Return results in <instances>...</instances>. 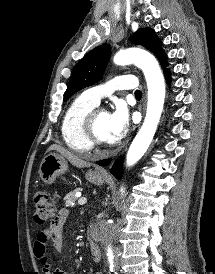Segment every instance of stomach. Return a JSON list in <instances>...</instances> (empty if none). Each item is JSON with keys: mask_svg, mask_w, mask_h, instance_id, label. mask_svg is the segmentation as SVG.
I'll list each match as a JSON object with an SVG mask.
<instances>
[{"mask_svg": "<svg viewBox=\"0 0 215 274\" xmlns=\"http://www.w3.org/2000/svg\"><path fill=\"white\" fill-rule=\"evenodd\" d=\"M67 171L68 163L65 158L62 155L51 153L41 162L39 176L44 183L52 184L59 175H62ZM85 177L88 181L97 185L103 184L106 181V176L95 170H89Z\"/></svg>", "mask_w": 215, "mask_h": 274, "instance_id": "0dacf381", "label": "stomach"}]
</instances>
